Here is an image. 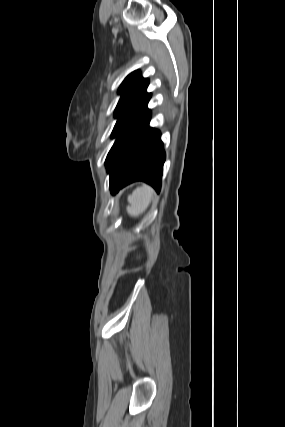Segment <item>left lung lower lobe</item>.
Returning <instances> with one entry per match:
<instances>
[{"label":"left lung lower lobe","instance_id":"left-lung-lower-lobe-1","mask_svg":"<svg viewBox=\"0 0 285 427\" xmlns=\"http://www.w3.org/2000/svg\"><path fill=\"white\" fill-rule=\"evenodd\" d=\"M149 121L150 110H146L110 150L106 168L112 193L137 180L159 192L165 152L159 131L150 128Z\"/></svg>","mask_w":285,"mask_h":427}]
</instances>
